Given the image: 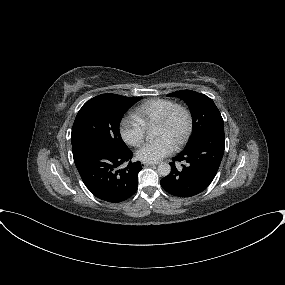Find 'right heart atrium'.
Masks as SVG:
<instances>
[{
    "label": "right heart atrium",
    "mask_w": 285,
    "mask_h": 285,
    "mask_svg": "<svg viewBox=\"0 0 285 285\" xmlns=\"http://www.w3.org/2000/svg\"><path fill=\"white\" fill-rule=\"evenodd\" d=\"M119 132L128 145L139 146L145 138L146 126L135 114H128L121 119Z\"/></svg>",
    "instance_id": "obj_1"
}]
</instances>
